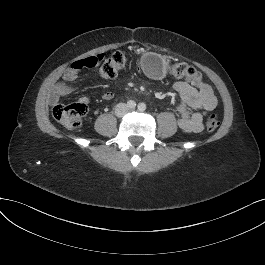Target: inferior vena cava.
Listing matches in <instances>:
<instances>
[{
    "instance_id": "1",
    "label": "inferior vena cava",
    "mask_w": 265,
    "mask_h": 265,
    "mask_svg": "<svg viewBox=\"0 0 265 265\" xmlns=\"http://www.w3.org/2000/svg\"><path fill=\"white\" fill-rule=\"evenodd\" d=\"M129 108L125 103H118L115 107V114L117 116H122L128 112Z\"/></svg>"
}]
</instances>
